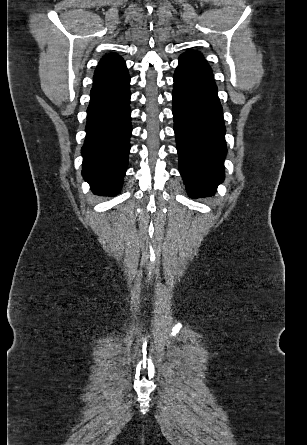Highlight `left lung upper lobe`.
<instances>
[{"instance_id": "left-lung-upper-lobe-1", "label": "left lung upper lobe", "mask_w": 307, "mask_h": 445, "mask_svg": "<svg viewBox=\"0 0 307 445\" xmlns=\"http://www.w3.org/2000/svg\"><path fill=\"white\" fill-rule=\"evenodd\" d=\"M181 56L188 57V58H194L202 61L204 64L208 65L205 59L203 58L202 54L193 50H188L186 53L182 54ZM209 66V65H208Z\"/></svg>"}]
</instances>
